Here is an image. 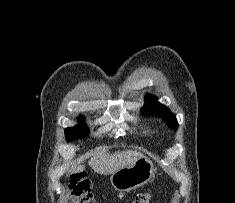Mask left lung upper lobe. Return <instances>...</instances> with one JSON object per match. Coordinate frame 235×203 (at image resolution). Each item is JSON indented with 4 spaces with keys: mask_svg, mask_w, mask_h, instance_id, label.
<instances>
[{
    "mask_svg": "<svg viewBox=\"0 0 235 203\" xmlns=\"http://www.w3.org/2000/svg\"><path fill=\"white\" fill-rule=\"evenodd\" d=\"M146 104L141 109L142 113L145 115H155L158 117H162L165 123L172 129H178V123L176 120V117L171 111L160 104L157 101V98L155 96H149L147 95L145 97Z\"/></svg>",
    "mask_w": 235,
    "mask_h": 203,
    "instance_id": "1",
    "label": "left lung upper lobe"
}]
</instances>
